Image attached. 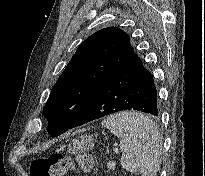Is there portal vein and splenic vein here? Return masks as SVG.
Here are the masks:
<instances>
[{
    "label": "portal vein and splenic vein",
    "mask_w": 205,
    "mask_h": 176,
    "mask_svg": "<svg viewBox=\"0 0 205 176\" xmlns=\"http://www.w3.org/2000/svg\"><path fill=\"white\" fill-rule=\"evenodd\" d=\"M113 151H114L115 153H119V150H118V148H116V147L113 149Z\"/></svg>",
    "instance_id": "18ae733b"
}]
</instances>
